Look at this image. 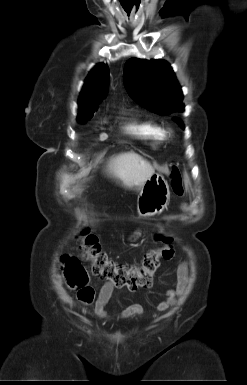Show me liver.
<instances>
[{
  "instance_id": "liver-1",
  "label": "liver",
  "mask_w": 247,
  "mask_h": 385,
  "mask_svg": "<svg viewBox=\"0 0 247 385\" xmlns=\"http://www.w3.org/2000/svg\"><path fill=\"white\" fill-rule=\"evenodd\" d=\"M108 172L120 179L124 186L141 190L145 182L155 173V169L140 155L126 152L110 159Z\"/></svg>"
}]
</instances>
